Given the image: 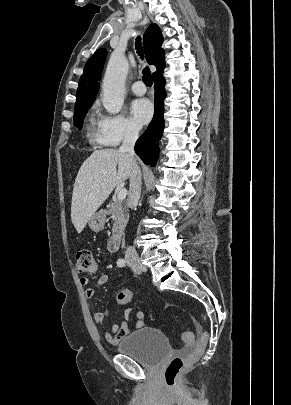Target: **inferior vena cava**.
<instances>
[{
  "mask_svg": "<svg viewBox=\"0 0 291 405\" xmlns=\"http://www.w3.org/2000/svg\"><path fill=\"white\" fill-rule=\"evenodd\" d=\"M139 130L134 127L127 129L122 145L119 150L127 153L132 159L131 173H130V188L128 195V205L130 207L136 206L141 194V171L135 161L134 145L138 139ZM126 261H138V255L133 247H128L125 252Z\"/></svg>",
  "mask_w": 291,
  "mask_h": 405,
  "instance_id": "obj_1",
  "label": "inferior vena cava"
}]
</instances>
